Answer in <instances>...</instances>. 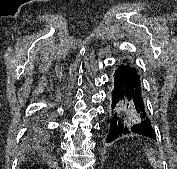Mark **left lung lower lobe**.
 Here are the masks:
<instances>
[{"mask_svg":"<svg viewBox=\"0 0 177 169\" xmlns=\"http://www.w3.org/2000/svg\"><path fill=\"white\" fill-rule=\"evenodd\" d=\"M112 119L106 142H112L131 132L156 139L155 131L147 115L143 101V89L139 67L131 59H124L116 65L113 74ZM129 108L139 114L137 124L128 128L123 123V109ZM131 113V112H130Z\"/></svg>","mask_w":177,"mask_h":169,"instance_id":"left-lung-lower-lobe-1","label":"left lung lower lobe"}]
</instances>
